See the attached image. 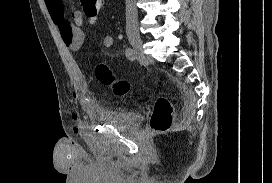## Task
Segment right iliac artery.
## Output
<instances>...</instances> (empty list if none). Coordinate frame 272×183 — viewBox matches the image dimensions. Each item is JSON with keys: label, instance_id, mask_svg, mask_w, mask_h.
Segmentation results:
<instances>
[{"label": "right iliac artery", "instance_id": "1", "mask_svg": "<svg viewBox=\"0 0 272 183\" xmlns=\"http://www.w3.org/2000/svg\"><path fill=\"white\" fill-rule=\"evenodd\" d=\"M126 57L130 60V61H134L136 59V54L135 51L131 48H127L126 49Z\"/></svg>", "mask_w": 272, "mask_h": 183}]
</instances>
